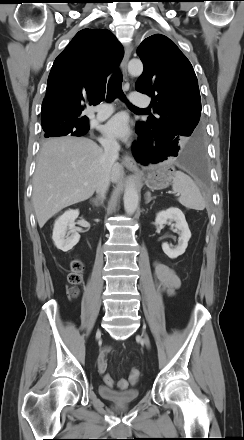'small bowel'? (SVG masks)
<instances>
[{
    "label": "small bowel",
    "instance_id": "small-bowel-1",
    "mask_svg": "<svg viewBox=\"0 0 244 440\" xmlns=\"http://www.w3.org/2000/svg\"><path fill=\"white\" fill-rule=\"evenodd\" d=\"M154 274L160 288L167 294L171 295L180 287V278L176 272L166 264L157 262L154 266ZM108 348L101 351L97 359V368L100 374H104L107 370V353Z\"/></svg>",
    "mask_w": 244,
    "mask_h": 440
}]
</instances>
